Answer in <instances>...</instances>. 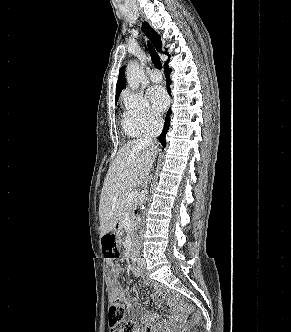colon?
Segmentation results:
<instances>
[{
    "mask_svg": "<svg viewBox=\"0 0 291 332\" xmlns=\"http://www.w3.org/2000/svg\"><path fill=\"white\" fill-rule=\"evenodd\" d=\"M102 247L105 258L114 261L119 258L120 239L116 234L107 233L102 237ZM111 258V259H110ZM170 304L179 311L184 313H193L191 305L177 301L174 298L170 299ZM192 319L196 322L199 319L197 313H193ZM108 320L110 325V332H133L132 324L124 320L123 300L121 298L112 299V304L108 311Z\"/></svg>",
    "mask_w": 291,
    "mask_h": 332,
    "instance_id": "1",
    "label": "colon"
}]
</instances>
